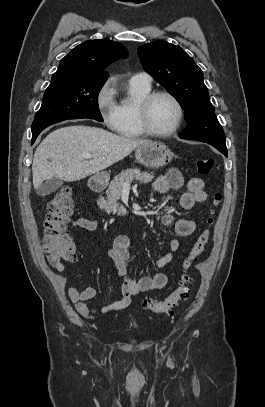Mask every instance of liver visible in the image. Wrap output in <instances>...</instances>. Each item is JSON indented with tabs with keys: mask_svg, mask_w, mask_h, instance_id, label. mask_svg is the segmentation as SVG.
Returning a JSON list of instances; mask_svg holds the SVG:
<instances>
[{
	"mask_svg": "<svg viewBox=\"0 0 265 407\" xmlns=\"http://www.w3.org/2000/svg\"><path fill=\"white\" fill-rule=\"evenodd\" d=\"M151 141L122 137L101 128L74 125L51 132L40 143L32 163L33 186L59 178L73 182L99 173ZM85 155H92L86 160Z\"/></svg>",
	"mask_w": 265,
	"mask_h": 407,
	"instance_id": "liver-1",
	"label": "liver"
}]
</instances>
